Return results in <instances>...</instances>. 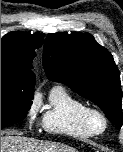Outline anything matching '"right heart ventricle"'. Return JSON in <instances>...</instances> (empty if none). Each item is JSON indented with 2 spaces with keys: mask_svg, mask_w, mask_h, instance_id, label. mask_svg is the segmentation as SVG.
<instances>
[{
  "mask_svg": "<svg viewBox=\"0 0 123 152\" xmlns=\"http://www.w3.org/2000/svg\"><path fill=\"white\" fill-rule=\"evenodd\" d=\"M86 104L70 94L64 87L55 86L49 94V101L42 116L43 129L51 134L78 139L90 138L80 122V114Z\"/></svg>",
  "mask_w": 123,
  "mask_h": 152,
  "instance_id": "obj_1",
  "label": "right heart ventricle"
}]
</instances>
